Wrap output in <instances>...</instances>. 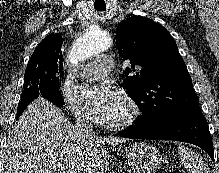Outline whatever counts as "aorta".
Instances as JSON below:
<instances>
[{"label":"aorta","instance_id":"762f6f07","mask_svg":"<svg viewBox=\"0 0 219 173\" xmlns=\"http://www.w3.org/2000/svg\"><path fill=\"white\" fill-rule=\"evenodd\" d=\"M112 43V38L107 32L101 29L91 28L82 34L73 44L68 60L71 65L76 66L79 62L108 50L112 46Z\"/></svg>","mask_w":219,"mask_h":173}]
</instances>
